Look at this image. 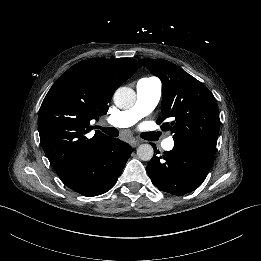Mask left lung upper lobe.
Here are the masks:
<instances>
[{"label": "left lung upper lobe", "mask_w": 261, "mask_h": 261, "mask_svg": "<svg viewBox=\"0 0 261 261\" xmlns=\"http://www.w3.org/2000/svg\"><path fill=\"white\" fill-rule=\"evenodd\" d=\"M141 64L159 77L163 86L162 117H172L174 142L200 141L216 147L220 129L218 105L210 90L177 65L164 59H141Z\"/></svg>", "instance_id": "obj_1"}]
</instances>
